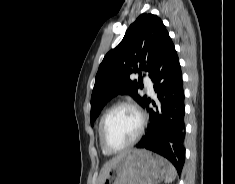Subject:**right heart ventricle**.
<instances>
[{
	"mask_svg": "<svg viewBox=\"0 0 235 184\" xmlns=\"http://www.w3.org/2000/svg\"><path fill=\"white\" fill-rule=\"evenodd\" d=\"M102 120H103V117L101 118V120H100V122H99V126H98V136H99V134H100V129H101ZM102 151H103L104 154L108 155V153L105 152V151L103 150V148H102Z\"/></svg>",
	"mask_w": 235,
	"mask_h": 184,
	"instance_id": "1",
	"label": "right heart ventricle"
}]
</instances>
